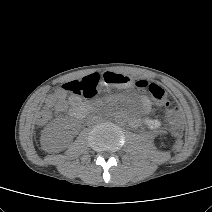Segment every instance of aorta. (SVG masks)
Segmentation results:
<instances>
[{
    "instance_id": "1",
    "label": "aorta",
    "mask_w": 212,
    "mask_h": 212,
    "mask_svg": "<svg viewBox=\"0 0 212 212\" xmlns=\"http://www.w3.org/2000/svg\"><path fill=\"white\" fill-rule=\"evenodd\" d=\"M117 121H120V118H117Z\"/></svg>"
}]
</instances>
